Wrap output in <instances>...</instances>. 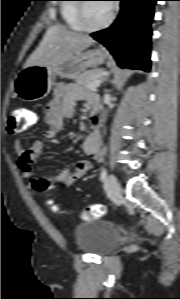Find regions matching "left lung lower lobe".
I'll return each instance as SVG.
<instances>
[{
    "mask_svg": "<svg viewBox=\"0 0 180 299\" xmlns=\"http://www.w3.org/2000/svg\"><path fill=\"white\" fill-rule=\"evenodd\" d=\"M121 11L107 29L91 36L101 42L121 67L150 70L151 23L158 0H120Z\"/></svg>",
    "mask_w": 180,
    "mask_h": 299,
    "instance_id": "left-lung-lower-lobe-1",
    "label": "left lung lower lobe"
}]
</instances>
